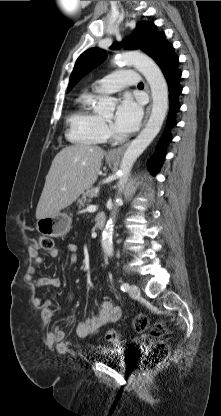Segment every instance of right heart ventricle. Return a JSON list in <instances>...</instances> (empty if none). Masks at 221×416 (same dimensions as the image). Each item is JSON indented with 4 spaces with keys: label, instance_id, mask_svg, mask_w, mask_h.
Segmentation results:
<instances>
[{
    "label": "right heart ventricle",
    "instance_id": "e07e8e85",
    "mask_svg": "<svg viewBox=\"0 0 221 416\" xmlns=\"http://www.w3.org/2000/svg\"><path fill=\"white\" fill-rule=\"evenodd\" d=\"M94 100V94L83 93L68 118V137L74 143L96 145L106 139L103 120L92 108Z\"/></svg>",
    "mask_w": 221,
    "mask_h": 416
}]
</instances>
